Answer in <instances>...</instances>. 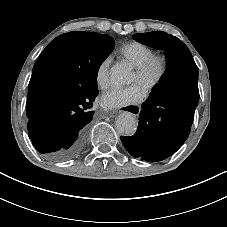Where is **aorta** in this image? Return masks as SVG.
Masks as SVG:
<instances>
[{"instance_id": "aorta-1", "label": "aorta", "mask_w": 227, "mask_h": 227, "mask_svg": "<svg viewBox=\"0 0 227 227\" xmlns=\"http://www.w3.org/2000/svg\"><path fill=\"white\" fill-rule=\"evenodd\" d=\"M110 78L115 84H126L132 79L130 68L125 64H115L110 70ZM138 122L130 112L121 113L116 120V128L124 136H132L137 129Z\"/></svg>"}]
</instances>
